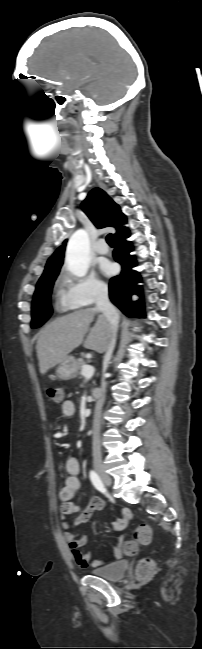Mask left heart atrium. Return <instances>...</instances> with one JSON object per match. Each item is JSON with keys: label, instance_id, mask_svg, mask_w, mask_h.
Wrapping results in <instances>:
<instances>
[{"label": "left heart atrium", "instance_id": "obj_1", "mask_svg": "<svg viewBox=\"0 0 202 649\" xmlns=\"http://www.w3.org/2000/svg\"><path fill=\"white\" fill-rule=\"evenodd\" d=\"M102 270L106 274H111L113 272V266L109 263H105L102 267Z\"/></svg>", "mask_w": 202, "mask_h": 649}]
</instances>
